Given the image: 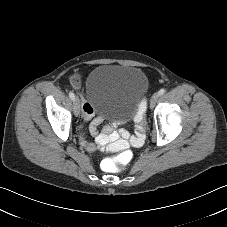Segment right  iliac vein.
<instances>
[{
    "instance_id": "63e3f726",
    "label": "right iliac vein",
    "mask_w": 227,
    "mask_h": 227,
    "mask_svg": "<svg viewBox=\"0 0 227 227\" xmlns=\"http://www.w3.org/2000/svg\"><path fill=\"white\" fill-rule=\"evenodd\" d=\"M80 111H81L80 101H79L78 98H76L74 100V114H75V116H79L80 115Z\"/></svg>"
}]
</instances>
